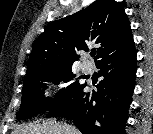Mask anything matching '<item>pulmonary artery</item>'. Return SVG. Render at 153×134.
I'll return each instance as SVG.
<instances>
[{"label": "pulmonary artery", "mask_w": 153, "mask_h": 134, "mask_svg": "<svg viewBox=\"0 0 153 134\" xmlns=\"http://www.w3.org/2000/svg\"><path fill=\"white\" fill-rule=\"evenodd\" d=\"M81 68L85 73H91L93 71L94 66L91 62L84 61L81 65Z\"/></svg>", "instance_id": "obj_1"}]
</instances>
